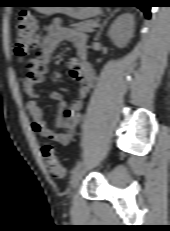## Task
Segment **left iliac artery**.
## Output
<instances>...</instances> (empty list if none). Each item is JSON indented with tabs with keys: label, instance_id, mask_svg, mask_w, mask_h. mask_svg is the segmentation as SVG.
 <instances>
[{
	"label": "left iliac artery",
	"instance_id": "left-iliac-artery-1",
	"mask_svg": "<svg viewBox=\"0 0 170 231\" xmlns=\"http://www.w3.org/2000/svg\"><path fill=\"white\" fill-rule=\"evenodd\" d=\"M81 167H82V162L77 163L72 169V174H74Z\"/></svg>",
	"mask_w": 170,
	"mask_h": 231
}]
</instances>
